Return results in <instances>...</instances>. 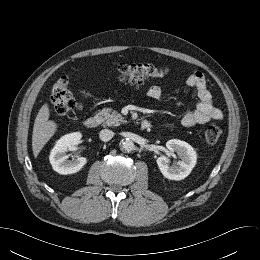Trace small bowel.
I'll use <instances>...</instances> for the list:
<instances>
[{"instance_id": "small-bowel-1", "label": "small bowel", "mask_w": 260, "mask_h": 260, "mask_svg": "<svg viewBox=\"0 0 260 260\" xmlns=\"http://www.w3.org/2000/svg\"><path fill=\"white\" fill-rule=\"evenodd\" d=\"M167 69H160L156 72L157 76L167 74ZM186 85L194 88L198 93V103L196 108L188 111L181 119V125L184 127H193L198 124H204L211 120L223 119V112L214 106L210 91L207 87L205 77L201 72H194L186 79ZM148 96L151 99L162 97L163 90L158 85H153L148 89Z\"/></svg>"}]
</instances>
